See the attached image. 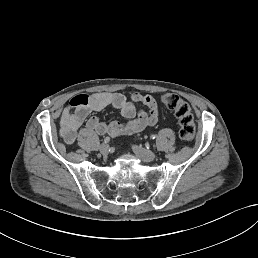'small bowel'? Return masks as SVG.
Wrapping results in <instances>:
<instances>
[{
  "instance_id": "obj_1",
  "label": "small bowel",
  "mask_w": 258,
  "mask_h": 258,
  "mask_svg": "<svg viewBox=\"0 0 258 258\" xmlns=\"http://www.w3.org/2000/svg\"><path fill=\"white\" fill-rule=\"evenodd\" d=\"M137 103L143 104L147 111L139 110ZM107 107L119 110L126 122H101L92 112L101 111ZM160 116L156 99L140 93L131 94L130 98L121 93L96 92L91 95L78 94L71 98L69 105L60 116L61 136L67 144H73L80 128L97 135L117 137L131 135L154 126Z\"/></svg>"
}]
</instances>
